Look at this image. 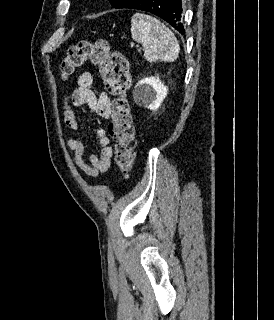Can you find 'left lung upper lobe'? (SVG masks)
Here are the masks:
<instances>
[{
	"instance_id": "1",
	"label": "left lung upper lobe",
	"mask_w": 274,
	"mask_h": 320,
	"mask_svg": "<svg viewBox=\"0 0 274 320\" xmlns=\"http://www.w3.org/2000/svg\"><path fill=\"white\" fill-rule=\"evenodd\" d=\"M113 8H123L130 0H109Z\"/></svg>"
}]
</instances>
